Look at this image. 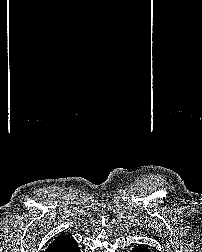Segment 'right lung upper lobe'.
<instances>
[{
	"mask_svg": "<svg viewBox=\"0 0 202 252\" xmlns=\"http://www.w3.org/2000/svg\"><path fill=\"white\" fill-rule=\"evenodd\" d=\"M77 242L68 235H60L52 241L45 252H68Z\"/></svg>",
	"mask_w": 202,
	"mask_h": 252,
	"instance_id": "cb5924a9",
	"label": "right lung upper lobe"
}]
</instances>
